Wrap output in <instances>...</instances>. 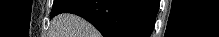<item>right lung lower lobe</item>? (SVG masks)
Instances as JSON below:
<instances>
[{"instance_id": "right-lung-lower-lobe-1", "label": "right lung lower lobe", "mask_w": 219, "mask_h": 37, "mask_svg": "<svg viewBox=\"0 0 219 37\" xmlns=\"http://www.w3.org/2000/svg\"><path fill=\"white\" fill-rule=\"evenodd\" d=\"M158 8L157 0H71L57 14L79 15L104 37H149Z\"/></svg>"}]
</instances>
